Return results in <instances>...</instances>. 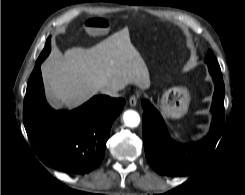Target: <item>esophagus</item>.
I'll return each instance as SVG.
<instances>
[{"label":"esophagus","mask_w":245,"mask_h":195,"mask_svg":"<svg viewBox=\"0 0 245 195\" xmlns=\"http://www.w3.org/2000/svg\"><path fill=\"white\" fill-rule=\"evenodd\" d=\"M137 102H138V96L137 95H132L129 98V104H130V106L135 107L137 105Z\"/></svg>","instance_id":"obj_1"}]
</instances>
